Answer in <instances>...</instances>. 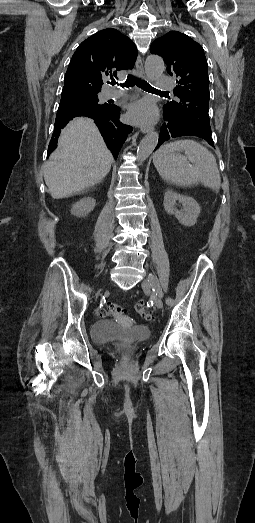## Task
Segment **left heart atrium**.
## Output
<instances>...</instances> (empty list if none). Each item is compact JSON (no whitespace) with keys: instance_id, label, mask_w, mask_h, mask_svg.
<instances>
[{"instance_id":"39dd6f15","label":"left heart atrium","mask_w":255,"mask_h":523,"mask_svg":"<svg viewBox=\"0 0 255 523\" xmlns=\"http://www.w3.org/2000/svg\"><path fill=\"white\" fill-rule=\"evenodd\" d=\"M128 114L133 120L151 122L157 117V109L151 100L144 99L133 103Z\"/></svg>"}]
</instances>
